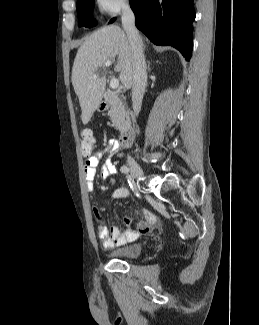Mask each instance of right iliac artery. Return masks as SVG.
Here are the masks:
<instances>
[{
	"instance_id": "right-iliac-artery-1",
	"label": "right iliac artery",
	"mask_w": 259,
	"mask_h": 325,
	"mask_svg": "<svg viewBox=\"0 0 259 325\" xmlns=\"http://www.w3.org/2000/svg\"><path fill=\"white\" fill-rule=\"evenodd\" d=\"M120 170L122 173L127 174V171H129V168L127 166L123 165Z\"/></svg>"
}]
</instances>
